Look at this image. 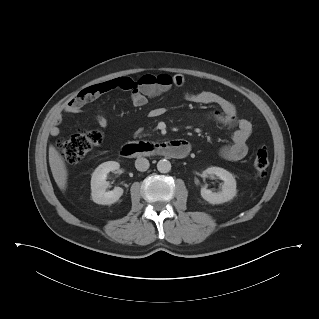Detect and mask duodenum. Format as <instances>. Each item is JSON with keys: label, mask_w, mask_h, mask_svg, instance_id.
Masks as SVG:
<instances>
[{"label": "duodenum", "mask_w": 319, "mask_h": 319, "mask_svg": "<svg viewBox=\"0 0 319 319\" xmlns=\"http://www.w3.org/2000/svg\"><path fill=\"white\" fill-rule=\"evenodd\" d=\"M190 151V145L182 139L161 143L133 142L120 149L123 157L162 156L171 159H183Z\"/></svg>", "instance_id": "obj_1"}]
</instances>
